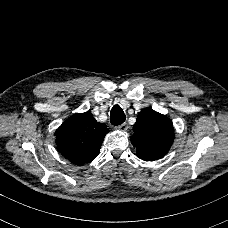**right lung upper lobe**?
Returning a JSON list of instances; mask_svg holds the SVG:
<instances>
[{
    "label": "right lung upper lobe",
    "instance_id": "right-lung-upper-lobe-1",
    "mask_svg": "<svg viewBox=\"0 0 228 228\" xmlns=\"http://www.w3.org/2000/svg\"><path fill=\"white\" fill-rule=\"evenodd\" d=\"M109 129L98 123L91 112L74 114L56 130L58 151L74 164L94 160Z\"/></svg>",
    "mask_w": 228,
    "mask_h": 228
}]
</instances>
